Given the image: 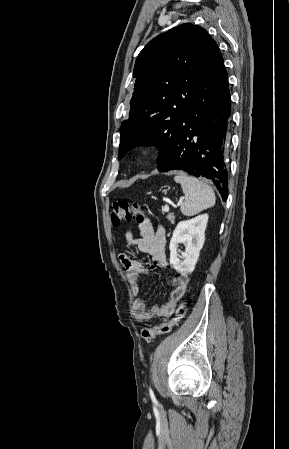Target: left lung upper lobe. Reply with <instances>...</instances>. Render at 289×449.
Segmentation results:
<instances>
[{"label":"left lung upper lobe","instance_id":"left-lung-upper-lobe-1","mask_svg":"<svg viewBox=\"0 0 289 449\" xmlns=\"http://www.w3.org/2000/svg\"><path fill=\"white\" fill-rule=\"evenodd\" d=\"M218 51L208 32L191 23L157 36L143 48L134 67L129 118L120 127L119 158L141 144L156 145L157 163L166 158L175 127Z\"/></svg>","mask_w":289,"mask_h":449}]
</instances>
